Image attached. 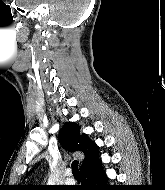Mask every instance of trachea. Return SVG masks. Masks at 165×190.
<instances>
[{"label": "trachea", "instance_id": "obj_1", "mask_svg": "<svg viewBox=\"0 0 165 190\" xmlns=\"http://www.w3.org/2000/svg\"><path fill=\"white\" fill-rule=\"evenodd\" d=\"M78 161H73L72 162V172L74 177H80V171H79V167H78Z\"/></svg>", "mask_w": 165, "mask_h": 190}]
</instances>
